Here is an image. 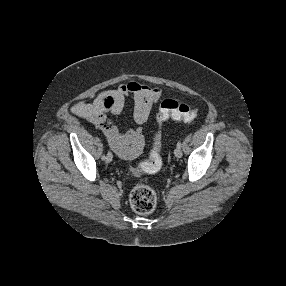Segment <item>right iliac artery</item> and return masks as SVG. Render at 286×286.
<instances>
[{
	"label": "right iliac artery",
	"mask_w": 286,
	"mask_h": 286,
	"mask_svg": "<svg viewBox=\"0 0 286 286\" xmlns=\"http://www.w3.org/2000/svg\"><path fill=\"white\" fill-rule=\"evenodd\" d=\"M105 159H106V156H105V155H103V156H102V160H105Z\"/></svg>",
	"instance_id": "82829eb1"
}]
</instances>
